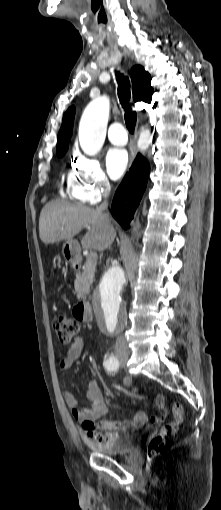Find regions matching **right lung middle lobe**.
Returning <instances> with one entry per match:
<instances>
[{"mask_svg":"<svg viewBox=\"0 0 221 510\" xmlns=\"http://www.w3.org/2000/svg\"><path fill=\"white\" fill-rule=\"evenodd\" d=\"M66 150L64 151H60V152H57V155L60 157V156H63L65 154Z\"/></svg>","mask_w":221,"mask_h":510,"instance_id":"dd1d6c3e","label":"right lung middle lobe"}]
</instances>
